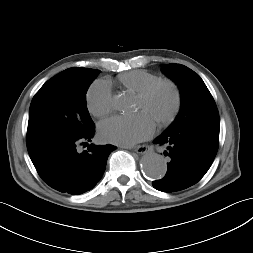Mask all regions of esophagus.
Here are the masks:
<instances>
[{
	"instance_id": "esophagus-1",
	"label": "esophagus",
	"mask_w": 253,
	"mask_h": 253,
	"mask_svg": "<svg viewBox=\"0 0 253 253\" xmlns=\"http://www.w3.org/2000/svg\"><path fill=\"white\" fill-rule=\"evenodd\" d=\"M138 154H144L149 151V146L146 144L139 145L133 149Z\"/></svg>"
}]
</instances>
